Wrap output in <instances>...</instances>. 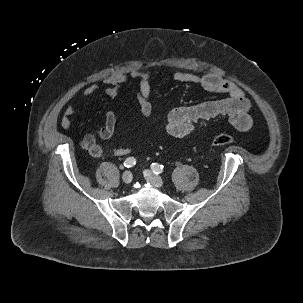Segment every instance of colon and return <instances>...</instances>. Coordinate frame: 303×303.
Returning a JSON list of instances; mask_svg holds the SVG:
<instances>
[{
    "mask_svg": "<svg viewBox=\"0 0 303 303\" xmlns=\"http://www.w3.org/2000/svg\"><path fill=\"white\" fill-rule=\"evenodd\" d=\"M234 142V139L232 136L219 133V134H214L211 139V144L213 146H225L232 144Z\"/></svg>",
    "mask_w": 303,
    "mask_h": 303,
    "instance_id": "5ec220e1",
    "label": "colon"
}]
</instances>
